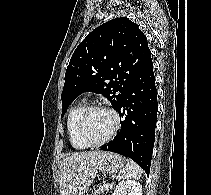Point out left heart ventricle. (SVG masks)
<instances>
[{
    "instance_id": "obj_1",
    "label": "left heart ventricle",
    "mask_w": 211,
    "mask_h": 195,
    "mask_svg": "<svg viewBox=\"0 0 211 195\" xmlns=\"http://www.w3.org/2000/svg\"><path fill=\"white\" fill-rule=\"evenodd\" d=\"M114 120L107 111H94L86 119L83 133L85 138L92 143L106 138L113 128Z\"/></svg>"
}]
</instances>
